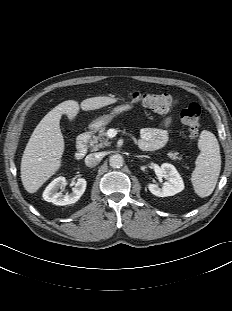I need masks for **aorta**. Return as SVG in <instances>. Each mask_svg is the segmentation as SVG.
Listing matches in <instances>:
<instances>
[{
	"instance_id": "aorta-1",
	"label": "aorta",
	"mask_w": 232,
	"mask_h": 311,
	"mask_svg": "<svg viewBox=\"0 0 232 311\" xmlns=\"http://www.w3.org/2000/svg\"><path fill=\"white\" fill-rule=\"evenodd\" d=\"M110 166L113 168H120L124 164V159L120 154H114L109 158Z\"/></svg>"
}]
</instances>
